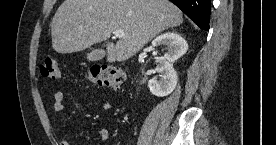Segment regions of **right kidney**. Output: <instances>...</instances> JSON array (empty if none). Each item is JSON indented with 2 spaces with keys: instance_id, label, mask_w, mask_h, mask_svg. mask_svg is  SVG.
<instances>
[{
  "instance_id": "ca27d5eb",
  "label": "right kidney",
  "mask_w": 276,
  "mask_h": 145,
  "mask_svg": "<svg viewBox=\"0 0 276 145\" xmlns=\"http://www.w3.org/2000/svg\"><path fill=\"white\" fill-rule=\"evenodd\" d=\"M159 45H165L167 52L163 57H156L158 63L156 72L159 73V79L155 77L149 80L148 87L153 95L164 97L172 93L176 87L177 73L173 63L186 53L188 44L181 35L172 31L161 34L152 41L153 47Z\"/></svg>"
}]
</instances>
